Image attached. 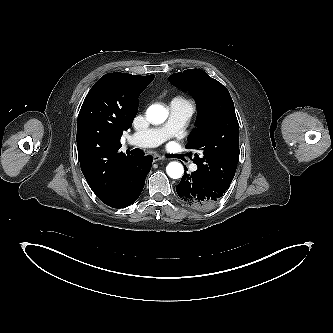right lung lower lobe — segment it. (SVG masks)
Returning a JSON list of instances; mask_svg holds the SVG:
<instances>
[{
  "label": "right lung lower lobe",
  "mask_w": 333,
  "mask_h": 333,
  "mask_svg": "<svg viewBox=\"0 0 333 333\" xmlns=\"http://www.w3.org/2000/svg\"><path fill=\"white\" fill-rule=\"evenodd\" d=\"M152 161L150 156L131 157L124 164L116 191L102 202L113 208L131 205L142 192Z\"/></svg>",
  "instance_id": "98d812e1"
}]
</instances>
